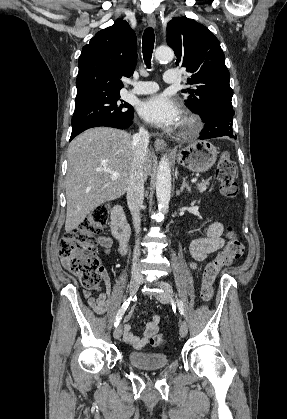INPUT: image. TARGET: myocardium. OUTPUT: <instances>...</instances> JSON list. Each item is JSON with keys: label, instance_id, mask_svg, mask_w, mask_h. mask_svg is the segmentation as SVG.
<instances>
[{"label": "myocardium", "instance_id": "obj_1", "mask_svg": "<svg viewBox=\"0 0 287 419\" xmlns=\"http://www.w3.org/2000/svg\"><path fill=\"white\" fill-rule=\"evenodd\" d=\"M200 124L197 118L187 115L181 123V135L194 134L199 130Z\"/></svg>", "mask_w": 287, "mask_h": 419}]
</instances>
